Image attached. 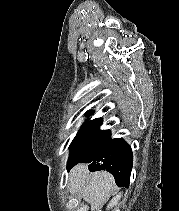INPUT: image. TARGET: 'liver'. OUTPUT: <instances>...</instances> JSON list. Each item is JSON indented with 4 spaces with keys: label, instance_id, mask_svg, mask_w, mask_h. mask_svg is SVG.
I'll return each mask as SVG.
<instances>
[{
    "label": "liver",
    "instance_id": "6515ba94",
    "mask_svg": "<svg viewBox=\"0 0 179 211\" xmlns=\"http://www.w3.org/2000/svg\"><path fill=\"white\" fill-rule=\"evenodd\" d=\"M69 184L70 191L79 193L90 204L91 211H96L108 198L115 181L106 171L90 173L86 165L78 164L70 172ZM120 199L119 193L111 199L106 210L109 211L116 206Z\"/></svg>",
    "mask_w": 179,
    "mask_h": 211
}]
</instances>
